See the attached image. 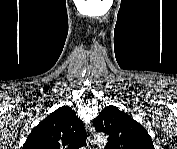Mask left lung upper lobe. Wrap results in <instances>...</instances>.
<instances>
[{
    "instance_id": "1",
    "label": "left lung upper lobe",
    "mask_w": 177,
    "mask_h": 149,
    "mask_svg": "<svg viewBox=\"0 0 177 149\" xmlns=\"http://www.w3.org/2000/svg\"><path fill=\"white\" fill-rule=\"evenodd\" d=\"M93 124L97 132L109 135L107 149H154L147 130L115 106L104 108Z\"/></svg>"
}]
</instances>
